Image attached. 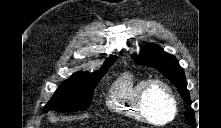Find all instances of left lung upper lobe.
Segmentation results:
<instances>
[{"instance_id": "left-lung-upper-lobe-1", "label": "left lung upper lobe", "mask_w": 221, "mask_h": 128, "mask_svg": "<svg viewBox=\"0 0 221 128\" xmlns=\"http://www.w3.org/2000/svg\"><path fill=\"white\" fill-rule=\"evenodd\" d=\"M133 58L139 64L143 66H151L161 72L177 87L183 100L187 104H191L184 71L173 55L164 52L158 45L148 44L142 48L139 55L134 54ZM185 117L191 126L194 127L195 116L193 110H187L185 112Z\"/></svg>"}]
</instances>
